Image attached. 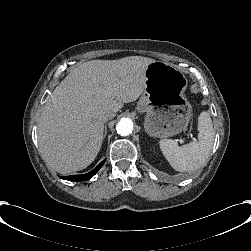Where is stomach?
Here are the masks:
<instances>
[{"label":"stomach","mask_w":251,"mask_h":251,"mask_svg":"<svg viewBox=\"0 0 251 251\" xmlns=\"http://www.w3.org/2000/svg\"><path fill=\"white\" fill-rule=\"evenodd\" d=\"M145 76L146 86L137 110L146 113V133L167 138L185 130L192 108L184 96L187 87L184 74L172 65L155 61L147 65Z\"/></svg>","instance_id":"1"}]
</instances>
